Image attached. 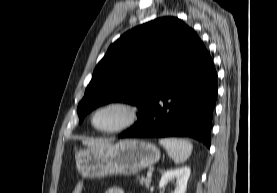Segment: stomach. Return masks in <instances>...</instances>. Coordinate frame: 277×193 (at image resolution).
Segmentation results:
<instances>
[{"mask_svg":"<svg viewBox=\"0 0 277 193\" xmlns=\"http://www.w3.org/2000/svg\"><path fill=\"white\" fill-rule=\"evenodd\" d=\"M159 159L160 151L154 144L138 139L80 149L75 156L77 170L85 178L136 174Z\"/></svg>","mask_w":277,"mask_h":193,"instance_id":"obj_1","label":"stomach"}]
</instances>
